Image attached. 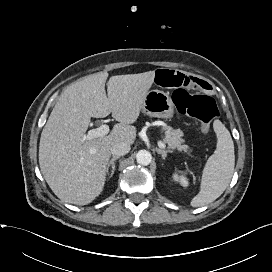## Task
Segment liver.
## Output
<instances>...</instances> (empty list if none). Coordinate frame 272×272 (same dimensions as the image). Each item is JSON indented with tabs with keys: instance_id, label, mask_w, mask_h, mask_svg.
<instances>
[{
	"instance_id": "obj_1",
	"label": "liver",
	"mask_w": 272,
	"mask_h": 272,
	"mask_svg": "<svg viewBox=\"0 0 272 272\" xmlns=\"http://www.w3.org/2000/svg\"><path fill=\"white\" fill-rule=\"evenodd\" d=\"M155 72L110 77L98 72L68 86L55 104L39 144L41 173L54 194L64 202L86 205L98 197L106 181L111 147L133 144L136 122ZM112 113L118 121L109 135L85 139L91 117Z\"/></svg>"
}]
</instances>
